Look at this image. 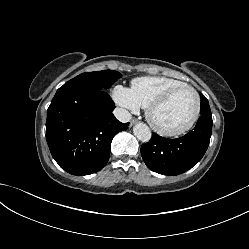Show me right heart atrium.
I'll return each instance as SVG.
<instances>
[{"label":"right heart atrium","instance_id":"d8ad5b80","mask_svg":"<svg viewBox=\"0 0 249 249\" xmlns=\"http://www.w3.org/2000/svg\"><path fill=\"white\" fill-rule=\"evenodd\" d=\"M113 98L116 104H118L119 106H121L126 110L136 112L140 108V105L134 98L131 89L125 86L122 85L115 86L113 90Z\"/></svg>","mask_w":249,"mask_h":249}]
</instances>
